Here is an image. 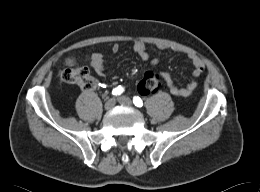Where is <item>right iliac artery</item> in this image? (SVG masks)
I'll use <instances>...</instances> for the list:
<instances>
[{
    "instance_id": "1",
    "label": "right iliac artery",
    "mask_w": 260,
    "mask_h": 192,
    "mask_svg": "<svg viewBox=\"0 0 260 192\" xmlns=\"http://www.w3.org/2000/svg\"><path fill=\"white\" fill-rule=\"evenodd\" d=\"M124 92V87L123 86H117L116 88L113 89L112 94L114 96H119Z\"/></svg>"
}]
</instances>
